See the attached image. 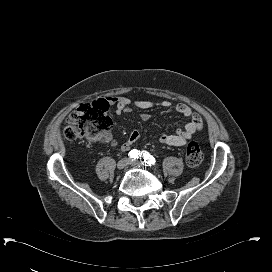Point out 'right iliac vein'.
Masks as SVG:
<instances>
[{
  "label": "right iliac vein",
  "instance_id": "1",
  "mask_svg": "<svg viewBox=\"0 0 272 272\" xmlns=\"http://www.w3.org/2000/svg\"><path fill=\"white\" fill-rule=\"evenodd\" d=\"M129 162H130L129 158H122L121 160L118 161L117 168L119 170H122L129 164Z\"/></svg>",
  "mask_w": 272,
  "mask_h": 272
}]
</instances>
